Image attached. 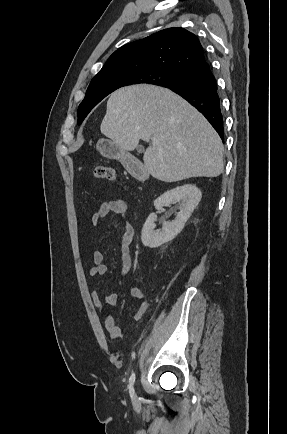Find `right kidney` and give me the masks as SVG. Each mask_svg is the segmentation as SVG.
<instances>
[{
    "mask_svg": "<svg viewBox=\"0 0 287 434\" xmlns=\"http://www.w3.org/2000/svg\"><path fill=\"white\" fill-rule=\"evenodd\" d=\"M201 197V191L193 184L176 187L158 197L154 201L157 210H161L164 205L181 202L180 211L173 221L164 222L161 230H154L156 216L154 213L150 214L142 228L141 240L143 245L157 248L174 239L184 228Z\"/></svg>",
    "mask_w": 287,
    "mask_h": 434,
    "instance_id": "1",
    "label": "right kidney"
}]
</instances>
